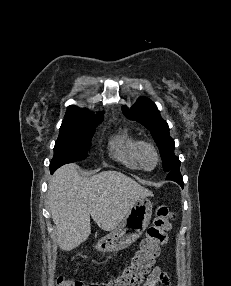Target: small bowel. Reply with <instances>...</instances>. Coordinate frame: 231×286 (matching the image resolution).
Listing matches in <instances>:
<instances>
[{"mask_svg": "<svg viewBox=\"0 0 231 286\" xmlns=\"http://www.w3.org/2000/svg\"><path fill=\"white\" fill-rule=\"evenodd\" d=\"M170 284L167 274L156 266L153 268L143 286H168Z\"/></svg>", "mask_w": 231, "mask_h": 286, "instance_id": "obj_1", "label": "small bowel"}]
</instances>
